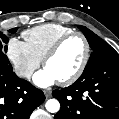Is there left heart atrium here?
<instances>
[{"label": "left heart atrium", "mask_w": 119, "mask_h": 119, "mask_svg": "<svg viewBox=\"0 0 119 119\" xmlns=\"http://www.w3.org/2000/svg\"><path fill=\"white\" fill-rule=\"evenodd\" d=\"M56 81V77L46 67L34 76V83L40 87H48Z\"/></svg>", "instance_id": "1"}]
</instances>
